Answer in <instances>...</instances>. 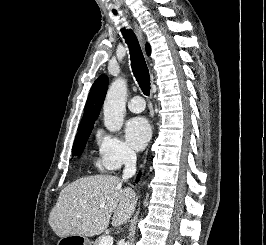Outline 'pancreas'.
Returning <instances> with one entry per match:
<instances>
[{"label":"pancreas","mask_w":266,"mask_h":245,"mask_svg":"<svg viewBox=\"0 0 266 245\" xmlns=\"http://www.w3.org/2000/svg\"><path fill=\"white\" fill-rule=\"evenodd\" d=\"M100 241H101V237H98V239H96L94 245H99Z\"/></svg>","instance_id":"1"}]
</instances>
